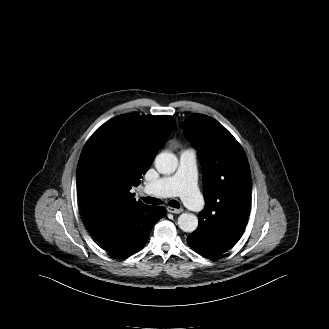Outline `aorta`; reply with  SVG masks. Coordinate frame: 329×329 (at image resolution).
Listing matches in <instances>:
<instances>
[{"label": "aorta", "instance_id": "aorta-1", "mask_svg": "<svg viewBox=\"0 0 329 329\" xmlns=\"http://www.w3.org/2000/svg\"><path fill=\"white\" fill-rule=\"evenodd\" d=\"M155 167L161 174H172L178 167V159L173 153L162 152L155 158ZM178 226L184 232H193L198 227V218L191 213H182L178 217Z\"/></svg>", "mask_w": 329, "mask_h": 329}]
</instances>
